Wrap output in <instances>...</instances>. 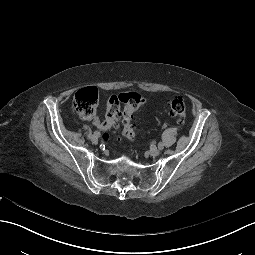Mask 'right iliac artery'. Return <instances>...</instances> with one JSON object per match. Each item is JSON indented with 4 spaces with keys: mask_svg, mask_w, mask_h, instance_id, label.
<instances>
[{
    "mask_svg": "<svg viewBox=\"0 0 255 255\" xmlns=\"http://www.w3.org/2000/svg\"><path fill=\"white\" fill-rule=\"evenodd\" d=\"M94 135L97 136V137H99V136H100V132L95 131V132H94Z\"/></svg>",
    "mask_w": 255,
    "mask_h": 255,
    "instance_id": "82829eb1",
    "label": "right iliac artery"
}]
</instances>
